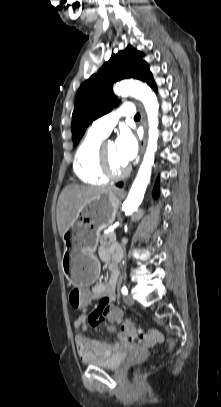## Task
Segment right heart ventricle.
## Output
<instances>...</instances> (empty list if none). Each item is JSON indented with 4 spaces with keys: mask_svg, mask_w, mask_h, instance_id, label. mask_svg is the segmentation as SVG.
<instances>
[{
    "mask_svg": "<svg viewBox=\"0 0 221 407\" xmlns=\"http://www.w3.org/2000/svg\"><path fill=\"white\" fill-rule=\"evenodd\" d=\"M104 138L89 130L76 151L74 172L86 184L101 185L107 182L99 166V151Z\"/></svg>",
    "mask_w": 221,
    "mask_h": 407,
    "instance_id": "1",
    "label": "right heart ventricle"
}]
</instances>
